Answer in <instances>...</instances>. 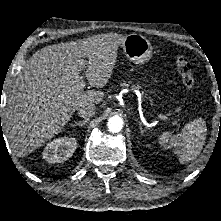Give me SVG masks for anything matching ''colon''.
I'll return each mask as SVG.
<instances>
[{
  "label": "colon",
  "instance_id": "5ec220e1",
  "mask_svg": "<svg viewBox=\"0 0 221 221\" xmlns=\"http://www.w3.org/2000/svg\"><path fill=\"white\" fill-rule=\"evenodd\" d=\"M176 69L186 87L188 89H194L196 87V78L192 73V67L188 58L184 55L178 54L174 59Z\"/></svg>",
  "mask_w": 221,
  "mask_h": 221
}]
</instances>
